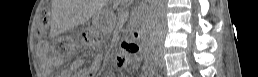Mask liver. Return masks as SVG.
<instances>
[{
	"mask_svg": "<svg viewBox=\"0 0 258 77\" xmlns=\"http://www.w3.org/2000/svg\"><path fill=\"white\" fill-rule=\"evenodd\" d=\"M81 13V6L75 0H56L53 2V14L70 26H74Z\"/></svg>",
	"mask_w": 258,
	"mask_h": 77,
	"instance_id": "6515ba94",
	"label": "liver"
}]
</instances>
